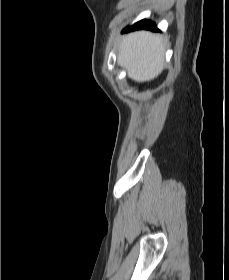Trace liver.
<instances>
[{"mask_svg":"<svg viewBox=\"0 0 229 280\" xmlns=\"http://www.w3.org/2000/svg\"><path fill=\"white\" fill-rule=\"evenodd\" d=\"M167 40L147 31L127 35L120 44L118 64L137 82L156 78L164 68Z\"/></svg>","mask_w":229,"mask_h":280,"instance_id":"1","label":"liver"}]
</instances>
